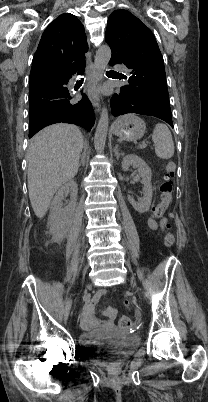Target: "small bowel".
Segmentation results:
<instances>
[{
  "label": "small bowel",
  "instance_id": "obj_1",
  "mask_svg": "<svg viewBox=\"0 0 208 402\" xmlns=\"http://www.w3.org/2000/svg\"><path fill=\"white\" fill-rule=\"evenodd\" d=\"M148 228L150 230H158L164 229L167 226V220L163 218L160 222H157L153 216L149 217L147 221ZM104 299V294L102 292H97L94 295V298L90 302V304L86 307L85 315L87 321H81L79 327L81 330H88L91 327V324H99L103 325L104 329L109 330L112 327L110 321H112L115 316L116 312L113 308H107L104 312L105 319H95L93 317L94 306L97 301H102Z\"/></svg>",
  "mask_w": 208,
  "mask_h": 402
}]
</instances>
